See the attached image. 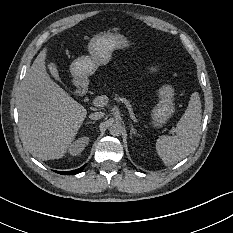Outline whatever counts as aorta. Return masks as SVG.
I'll return each mask as SVG.
<instances>
[{"label":"aorta","mask_w":233,"mask_h":233,"mask_svg":"<svg viewBox=\"0 0 233 233\" xmlns=\"http://www.w3.org/2000/svg\"><path fill=\"white\" fill-rule=\"evenodd\" d=\"M110 134L113 136H119L122 133V126L120 123H113L109 128Z\"/></svg>","instance_id":"762f6f07"}]
</instances>
